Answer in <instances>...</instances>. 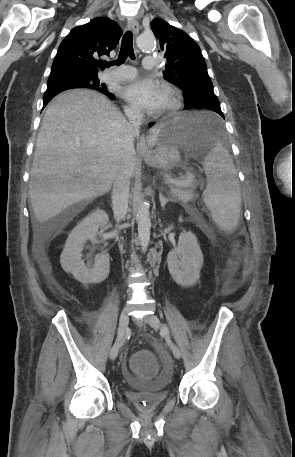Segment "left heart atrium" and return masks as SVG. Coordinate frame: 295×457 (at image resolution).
<instances>
[{"instance_id":"39dd6f15","label":"left heart atrium","mask_w":295,"mask_h":457,"mask_svg":"<svg viewBox=\"0 0 295 457\" xmlns=\"http://www.w3.org/2000/svg\"><path fill=\"white\" fill-rule=\"evenodd\" d=\"M164 95L162 85L149 78L136 79L129 83L123 91V96L129 103L150 112L160 108Z\"/></svg>"}]
</instances>
